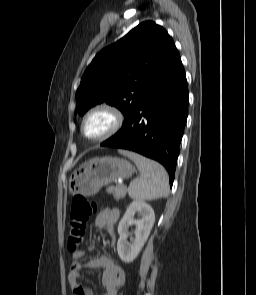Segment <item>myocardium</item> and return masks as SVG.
<instances>
[{
	"label": "myocardium",
	"instance_id": "obj_1",
	"mask_svg": "<svg viewBox=\"0 0 256 295\" xmlns=\"http://www.w3.org/2000/svg\"><path fill=\"white\" fill-rule=\"evenodd\" d=\"M98 112H104L109 115L111 119V124L108 130L103 133L100 136L94 137V138H89L85 135L84 128L87 120L94 114ZM123 115L122 113L113 105L109 103H100L92 108H90L82 117L81 123H80V133L83 138L90 142H101L104 141L110 137H112L121 127L123 123Z\"/></svg>",
	"mask_w": 256,
	"mask_h": 295
}]
</instances>
